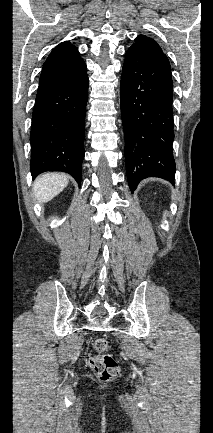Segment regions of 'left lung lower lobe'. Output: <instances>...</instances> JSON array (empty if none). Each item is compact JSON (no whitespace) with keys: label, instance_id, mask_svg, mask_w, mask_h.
Wrapping results in <instances>:
<instances>
[{"label":"left lung lower lobe","instance_id":"obj_1","mask_svg":"<svg viewBox=\"0 0 213 433\" xmlns=\"http://www.w3.org/2000/svg\"><path fill=\"white\" fill-rule=\"evenodd\" d=\"M172 96L170 66L130 47L122 69L120 101L131 192L147 177L174 183Z\"/></svg>","mask_w":213,"mask_h":433}]
</instances>
